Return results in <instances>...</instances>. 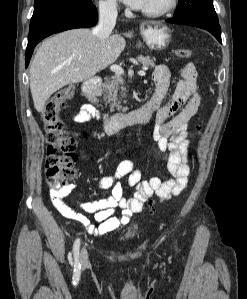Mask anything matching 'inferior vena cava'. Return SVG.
<instances>
[{
    "label": "inferior vena cava",
    "instance_id": "602c4592",
    "mask_svg": "<svg viewBox=\"0 0 247 299\" xmlns=\"http://www.w3.org/2000/svg\"><path fill=\"white\" fill-rule=\"evenodd\" d=\"M117 7L115 3L102 4L99 6V20L93 33L101 43H105L116 24Z\"/></svg>",
    "mask_w": 247,
    "mask_h": 299
}]
</instances>
